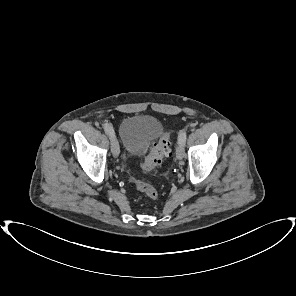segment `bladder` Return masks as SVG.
Masks as SVG:
<instances>
[{
  "instance_id": "bladder-1",
  "label": "bladder",
  "mask_w": 296,
  "mask_h": 296,
  "mask_svg": "<svg viewBox=\"0 0 296 296\" xmlns=\"http://www.w3.org/2000/svg\"><path fill=\"white\" fill-rule=\"evenodd\" d=\"M163 131L161 122L149 115L135 114L126 117L119 129L125 151L138 154L147 144L158 138Z\"/></svg>"
}]
</instances>
